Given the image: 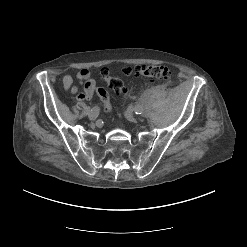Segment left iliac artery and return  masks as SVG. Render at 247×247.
<instances>
[{
    "mask_svg": "<svg viewBox=\"0 0 247 247\" xmlns=\"http://www.w3.org/2000/svg\"><path fill=\"white\" fill-rule=\"evenodd\" d=\"M134 111L136 114H142L143 112V109L140 105H136L135 108H134Z\"/></svg>",
    "mask_w": 247,
    "mask_h": 247,
    "instance_id": "1",
    "label": "left iliac artery"
}]
</instances>
